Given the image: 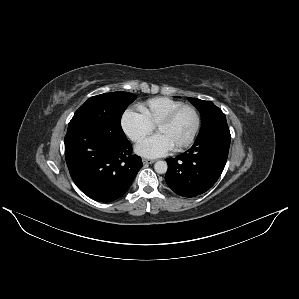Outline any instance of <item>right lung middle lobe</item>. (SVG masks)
Instances as JSON below:
<instances>
[{"instance_id": "right-lung-middle-lobe-1", "label": "right lung middle lobe", "mask_w": 299, "mask_h": 299, "mask_svg": "<svg viewBox=\"0 0 299 299\" xmlns=\"http://www.w3.org/2000/svg\"><path fill=\"white\" fill-rule=\"evenodd\" d=\"M136 96L128 92H112L89 98L74 114L68 128L74 126H98L124 136L121 117Z\"/></svg>"}]
</instances>
